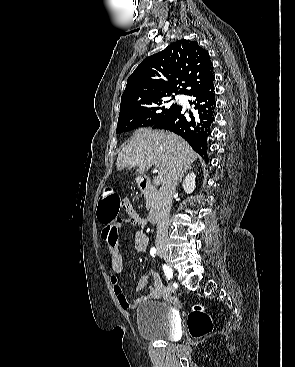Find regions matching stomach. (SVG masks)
Returning a JSON list of instances; mask_svg holds the SVG:
<instances>
[{
	"mask_svg": "<svg viewBox=\"0 0 295 367\" xmlns=\"http://www.w3.org/2000/svg\"><path fill=\"white\" fill-rule=\"evenodd\" d=\"M136 181H137V183H139L140 182V179L138 178V179H136Z\"/></svg>",
	"mask_w": 295,
	"mask_h": 367,
	"instance_id": "1",
	"label": "stomach"
}]
</instances>
